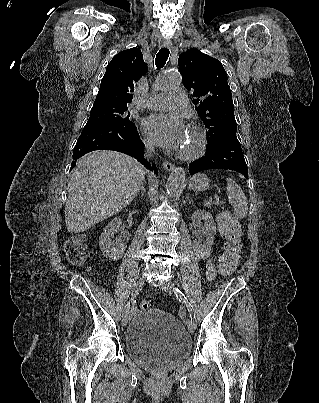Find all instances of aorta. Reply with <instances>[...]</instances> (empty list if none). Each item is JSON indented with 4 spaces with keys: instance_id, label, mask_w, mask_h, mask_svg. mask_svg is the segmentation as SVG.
<instances>
[{
    "instance_id": "762f6f07",
    "label": "aorta",
    "mask_w": 319,
    "mask_h": 403,
    "mask_svg": "<svg viewBox=\"0 0 319 403\" xmlns=\"http://www.w3.org/2000/svg\"><path fill=\"white\" fill-rule=\"evenodd\" d=\"M181 83V80L177 74L162 73L157 79V87L159 89H167L171 87H177ZM186 173L184 168L177 167L171 173L167 184V193L169 196H176L184 187Z\"/></svg>"
}]
</instances>
